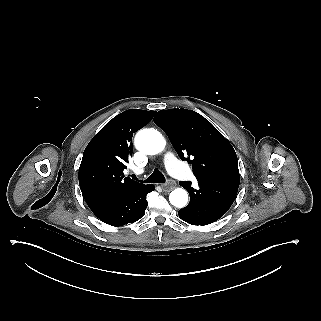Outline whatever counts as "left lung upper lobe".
Segmentation results:
<instances>
[{
    "label": "left lung upper lobe",
    "mask_w": 321,
    "mask_h": 321,
    "mask_svg": "<svg viewBox=\"0 0 321 321\" xmlns=\"http://www.w3.org/2000/svg\"><path fill=\"white\" fill-rule=\"evenodd\" d=\"M154 122L168 135L179 157L192 164L196 178L239 174L231 144L197 112L163 110L157 112Z\"/></svg>",
    "instance_id": "left-lung-upper-lobe-1"
}]
</instances>
